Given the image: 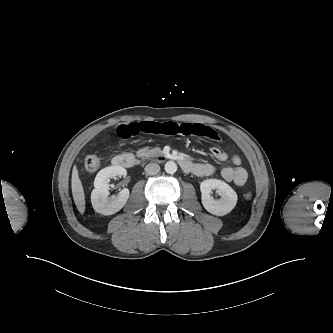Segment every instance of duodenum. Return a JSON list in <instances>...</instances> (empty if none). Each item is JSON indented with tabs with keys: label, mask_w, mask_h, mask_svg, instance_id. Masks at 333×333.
<instances>
[{
	"label": "duodenum",
	"mask_w": 333,
	"mask_h": 333,
	"mask_svg": "<svg viewBox=\"0 0 333 333\" xmlns=\"http://www.w3.org/2000/svg\"><path fill=\"white\" fill-rule=\"evenodd\" d=\"M173 159H175L179 163L181 169L186 173H190L194 169V164L186 158L177 156L174 157ZM137 161H138L137 158L130 153L120 154L116 156L113 160L115 165L125 168H130L134 166L137 163Z\"/></svg>",
	"instance_id": "1"
}]
</instances>
